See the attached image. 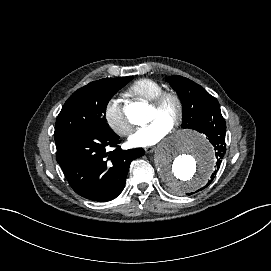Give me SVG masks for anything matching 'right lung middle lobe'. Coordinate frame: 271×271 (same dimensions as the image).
<instances>
[{
  "mask_svg": "<svg viewBox=\"0 0 271 271\" xmlns=\"http://www.w3.org/2000/svg\"><path fill=\"white\" fill-rule=\"evenodd\" d=\"M132 76L104 78L75 91L62 107L55 125V140L74 132L109 133L105 112L109 100Z\"/></svg>",
  "mask_w": 271,
  "mask_h": 271,
  "instance_id": "1",
  "label": "right lung middle lobe"
}]
</instances>
